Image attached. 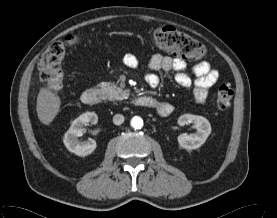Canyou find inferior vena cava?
I'll use <instances>...</instances> for the list:
<instances>
[{
    "mask_svg": "<svg viewBox=\"0 0 277 218\" xmlns=\"http://www.w3.org/2000/svg\"><path fill=\"white\" fill-rule=\"evenodd\" d=\"M124 122V116L122 114H116L113 117V123L115 125H121Z\"/></svg>",
    "mask_w": 277,
    "mask_h": 218,
    "instance_id": "inferior-vena-cava-1",
    "label": "inferior vena cava"
}]
</instances>
